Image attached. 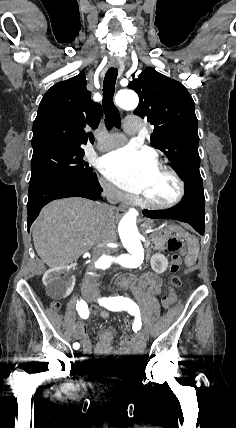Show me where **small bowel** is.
Wrapping results in <instances>:
<instances>
[{"mask_svg":"<svg viewBox=\"0 0 236 428\" xmlns=\"http://www.w3.org/2000/svg\"><path fill=\"white\" fill-rule=\"evenodd\" d=\"M142 286H145L149 292L157 294L160 292L162 286V279L159 275L148 273L142 278ZM109 312H102L101 317L108 319ZM74 334L83 344L82 359L85 361L90 360L93 352L92 343L87 334L86 328L83 324L79 323L74 328ZM115 335V330L112 327L104 328L99 331V342L97 343L94 353L98 356L115 355L119 357L137 359L143 354L145 347V339L142 334H137L132 337L124 339L117 347L111 346V341Z\"/></svg>","mask_w":236,"mask_h":428,"instance_id":"1","label":"small bowel"}]
</instances>
